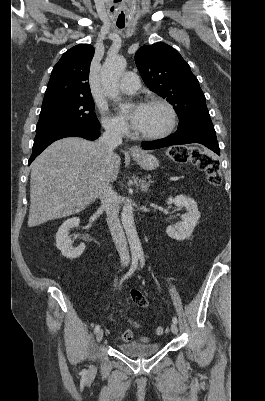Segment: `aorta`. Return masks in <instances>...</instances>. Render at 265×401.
<instances>
[{"label":"aorta","mask_w":265,"mask_h":401,"mask_svg":"<svg viewBox=\"0 0 265 401\" xmlns=\"http://www.w3.org/2000/svg\"><path fill=\"white\" fill-rule=\"evenodd\" d=\"M126 64L127 62L124 58H116V60L106 58L102 66V80L106 86V94L110 98H113V100H119L118 82L122 72L126 68ZM133 211L132 205H124L121 213V221L128 237L132 255H143V249L134 223Z\"/></svg>","instance_id":"1"}]
</instances>
